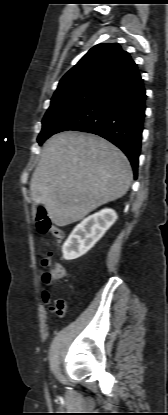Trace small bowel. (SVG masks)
<instances>
[{
  "label": "small bowel",
  "instance_id": "small-bowel-1",
  "mask_svg": "<svg viewBox=\"0 0 168 415\" xmlns=\"http://www.w3.org/2000/svg\"><path fill=\"white\" fill-rule=\"evenodd\" d=\"M50 298L49 292L44 291L43 292V299L45 302H48ZM52 310H54L57 315L62 316L65 310V304L64 301L61 299H57L54 301V306L52 307Z\"/></svg>",
  "mask_w": 168,
  "mask_h": 415
}]
</instances>
